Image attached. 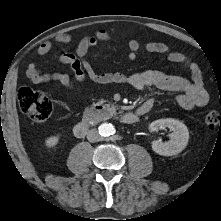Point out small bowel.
I'll use <instances>...</instances> for the list:
<instances>
[{
  "mask_svg": "<svg viewBox=\"0 0 221 221\" xmlns=\"http://www.w3.org/2000/svg\"><path fill=\"white\" fill-rule=\"evenodd\" d=\"M110 39L111 36L106 30H98L94 35L83 37L73 52L61 54L58 61L63 65L70 66L74 79L79 83L90 80L99 84H129L137 90L153 86L161 90L176 92L177 104L186 110L203 107L208 103L209 96L203 86L202 74L198 65L191 62L183 53L173 51L168 45L161 42H148L141 45L137 40L132 39L128 42L126 57L129 60H134L141 52L165 55L170 62L182 64L188 68L191 79L169 75L158 70H147L131 75L120 72H97L93 65L85 59V56L91 48ZM71 41V35L67 33L59 34L51 41L42 42L37 48V54L44 56L51 51L54 44H69ZM26 76L33 84L57 82L69 89L73 87L72 79L68 74L43 72L36 63H30L27 66ZM153 104V99L146 100L138 108V112L147 113L153 107Z\"/></svg>",
  "mask_w": 221,
  "mask_h": 221,
  "instance_id": "obj_1",
  "label": "small bowel"
}]
</instances>
